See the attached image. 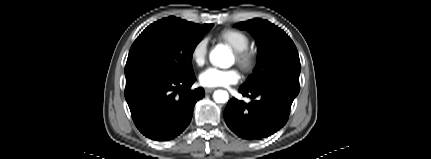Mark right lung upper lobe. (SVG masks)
<instances>
[{"label":"right lung upper lobe","instance_id":"obj_1","mask_svg":"<svg viewBox=\"0 0 431 159\" xmlns=\"http://www.w3.org/2000/svg\"><path fill=\"white\" fill-rule=\"evenodd\" d=\"M169 19H172V20H177V21H180V22H182V23H184V24H186V25H188V26H192V27H201V25H199V24H194V23H192V22H187V21H185V20H181L180 18H176V17H168ZM203 26V25H202Z\"/></svg>","mask_w":431,"mask_h":159}]
</instances>
